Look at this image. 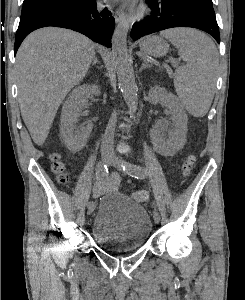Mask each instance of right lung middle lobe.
<instances>
[{"instance_id":"obj_1","label":"right lung middle lobe","mask_w":245,"mask_h":300,"mask_svg":"<svg viewBox=\"0 0 245 300\" xmlns=\"http://www.w3.org/2000/svg\"><path fill=\"white\" fill-rule=\"evenodd\" d=\"M89 0H29L23 2L20 21L68 7H81Z\"/></svg>"}]
</instances>
